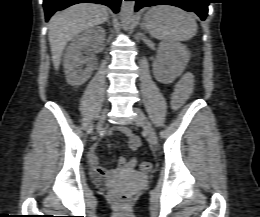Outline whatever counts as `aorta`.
Returning a JSON list of instances; mask_svg holds the SVG:
<instances>
[{
	"label": "aorta",
	"mask_w": 260,
	"mask_h": 217,
	"mask_svg": "<svg viewBox=\"0 0 260 217\" xmlns=\"http://www.w3.org/2000/svg\"><path fill=\"white\" fill-rule=\"evenodd\" d=\"M135 2L134 1H122L121 10H120V17L122 23L129 27V25L133 21V14H134Z\"/></svg>",
	"instance_id": "1"
}]
</instances>
